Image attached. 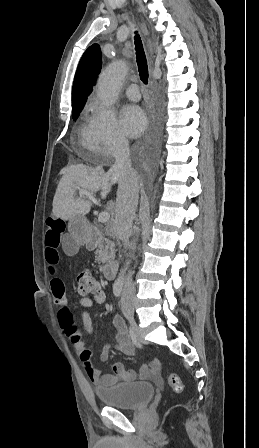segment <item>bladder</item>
Returning a JSON list of instances; mask_svg holds the SVG:
<instances>
[{"instance_id":"obj_1","label":"bladder","mask_w":259,"mask_h":448,"mask_svg":"<svg viewBox=\"0 0 259 448\" xmlns=\"http://www.w3.org/2000/svg\"><path fill=\"white\" fill-rule=\"evenodd\" d=\"M155 388L150 383H120L96 389L98 400L110 407L133 410L146 405L153 397Z\"/></svg>"}]
</instances>
